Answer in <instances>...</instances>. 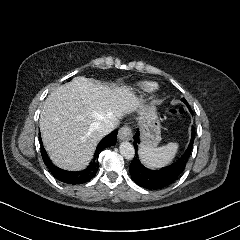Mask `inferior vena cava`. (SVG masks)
<instances>
[{"label":"inferior vena cava","mask_w":240,"mask_h":240,"mask_svg":"<svg viewBox=\"0 0 240 240\" xmlns=\"http://www.w3.org/2000/svg\"><path fill=\"white\" fill-rule=\"evenodd\" d=\"M119 125V120L117 119H106L99 123L98 132L104 137L110 134Z\"/></svg>","instance_id":"602c4592"}]
</instances>
